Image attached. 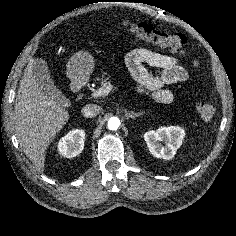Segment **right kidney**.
Returning <instances> with one entry per match:
<instances>
[{"mask_svg": "<svg viewBox=\"0 0 236 236\" xmlns=\"http://www.w3.org/2000/svg\"><path fill=\"white\" fill-rule=\"evenodd\" d=\"M84 140L85 131L82 129H74L60 139L58 151L64 157L73 158L82 152Z\"/></svg>", "mask_w": 236, "mask_h": 236, "instance_id": "1", "label": "right kidney"}]
</instances>
